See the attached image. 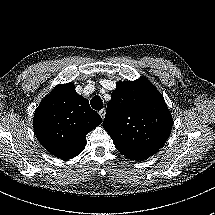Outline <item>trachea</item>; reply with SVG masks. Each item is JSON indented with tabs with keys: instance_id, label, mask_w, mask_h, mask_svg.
Here are the masks:
<instances>
[{
	"instance_id": "trachea-1",
	"label": "trachea",
	"mask_w": 215,
	"mask_h": 215,
	"mask_svg": "<svg viewBox=\"0 0 215 215\" xmlns=\"http://www.w3.org/2000/svg\"><path fill=\"white\" fill-rule=\"evenodd\" d=\"M91 106L95 110H101L103 107V101L100 96L96 95L91 99Z\"/></svg>"
}]
</instances>
